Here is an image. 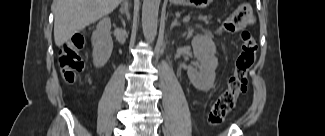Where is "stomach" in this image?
Instances as JSON below:
<instances>
[{
	"label": "stomach",
	"mask_w": 325,
	"mask_h": 136,
	"mask_svg": "<svg viewBox=\"0 0 325 136\" xmlns=\"http://www.w3.org/2000/svg\"><path fill=\"white\" fill-rule=\"evenodd\" d=\"M171 2L195 8H205L212 2V0H171Z\"/></svg>",
	"instance_id": "obj_1"
}]
</instances>
